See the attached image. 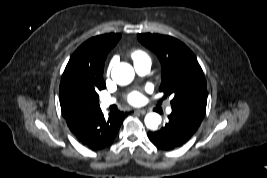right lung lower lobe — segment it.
Masks as SVG:
<instances>
[{
    "mask_svg": "<svg viewBox=\"0 0 267 178\" xmlns=\"http://www.w3.org/2000/svg\"><path fill=\"white\" fill-rule=\"evenodd\" d=\"M63 116L79 143L92 150H102L114 142L127 113L114 109L109 117L105 118L98 107L74 109Z\"/></svg>",
    "mask_w": 267,
    "mask_h": 178,
    "instance_id": "right-lung-lower-lobe-1",
    "label": "right lung lower lobe"
}]
</instances>
